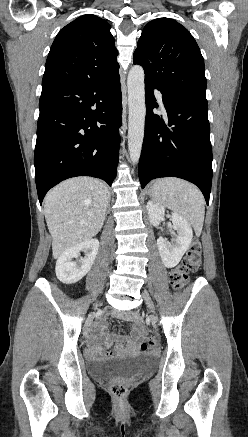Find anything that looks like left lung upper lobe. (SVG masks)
<instances>
[{
    "label": "left lung upper lobe",
    "mask_w": 248,
    "mask_h": 437,
    "mask_svg": "<svg viewBox=\"0 0 248 437\" xmlns=\"http://www.w3.org/2000/svg\"><path fill=\"white\" fill-rule=\"evenodd\" d=\"M134 64L166 94L206 100L204 60L190 32L175 20L159 18L143 29Z\"/></svg>",
    "instance_id": "1"
}]
</instances>
